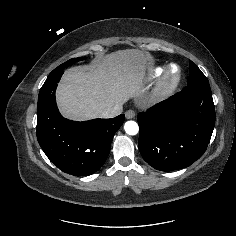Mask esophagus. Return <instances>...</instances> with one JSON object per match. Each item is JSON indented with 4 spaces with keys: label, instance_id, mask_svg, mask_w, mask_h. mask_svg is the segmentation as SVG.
Segmentation results:
<instances>
[{
    "label": "esophagus",
    "instance_id": "1",
    "mask_svg": "<svg viewBox=\"0 0 236 236\" xmlns=\"http://www.w3.org/2000/svg\"><path fill=\"white\" fill-rule=\"evenodd\" d=\"M127 119H133L135 117V112L133 110H128L125 113Z\"/></svg>",
    "mask_w": 236,
    "mask_h": 236
}]
</instances>
